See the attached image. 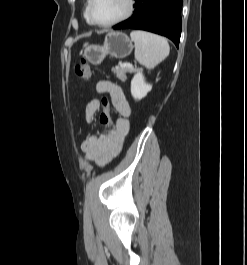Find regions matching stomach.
<instances>
[{
    "mask_svg": "<svg viewBox=\"0 0 247 265\" xmlns=\"http://www.w3.org/2000/svg\"><path fill=\"white\" fill-rule=\"evenodd\" d=\"M133 44L122 32H110L106 35L103 45H85L84 57L93 65H99L106 56L121 59L130 55Z\"/></svg>",
    "mask_w": 247,
    "mask_h": 265,
    "instance_id": "obj_1",
    "label": "stomach"
}]
</instances>
